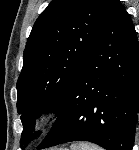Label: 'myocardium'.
<instances>
[{
  "label": "myocardium",
  "instance_id": "1",
  "mask_svg": "<svg viewBox=\"0 0 139 150\" xmlns=\"http://www.w3.org/2000/svg\"><path fill=\"white\" fill-rule=\"evenodd\" d=\"M53 116H54V113L51 110L43 111L36 118V121H35L36 126L38 128H42V127L46 126L51 121Z\"/></svg>",
  "mask_w": 139,
  "mask_h": 150
}]
</instances>
